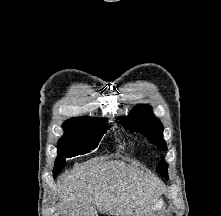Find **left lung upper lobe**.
Instances as JSON below:
<instances>
[{"instance_id": "obj_1", "label": "left lung upper lobe", "mask_w": 221, "mask_h": 216, "mask_svg": "<svg viewBox=\"0 0 221 216\" xmlns=\"http://www.w3.org/2000/svg\"><path fill=\"white\" fill-rule=\"evenodd\" d=\"M120 122L126 129L138 131L146 136L152 144L167 150L163 140V126L151 112L150 106H136L128 116L121 117ZM167 169L168 164L161 160L157 166V171L166 179H168Z\"/></svg>"}]
</instances>
